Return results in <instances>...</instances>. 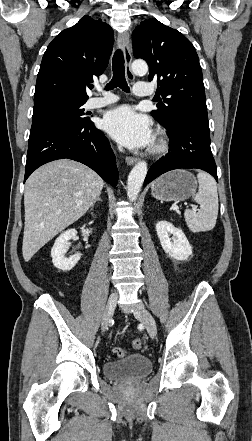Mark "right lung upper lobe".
<instances>
[{"label":"right lung upper lobe","instance_id":"right-lung-upper-lobe-1","mask_svg":"<svg viewBox=\"0 0 252 441\" xmlns=\"http://www.w3.org/2000/svg\"><path fill=\"white\" fill-rule=\"evenodd\" d=\"M113 30L84 16L48 45L37 76L34 104L51 99L87 100L86 85L106 69Z\"/></svg>","mask_w":252,"mask_h":441}]
</instances>
